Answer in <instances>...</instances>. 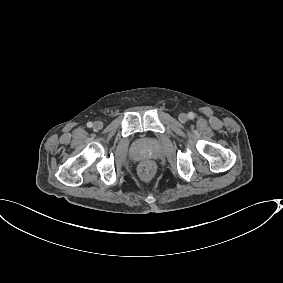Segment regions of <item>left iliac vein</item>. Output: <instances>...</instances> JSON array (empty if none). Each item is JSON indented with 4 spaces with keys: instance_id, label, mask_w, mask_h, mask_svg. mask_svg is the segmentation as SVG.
I'll return each instance as SVG.
<instances>
[{
    "instance_id": "1",
    "label": "left iliac vein",
    "mask_w": 283,
    "mask_h": 283,
    "mask_svg": "<svg viewBox=\"0 0 283 283\" xmlns=\"http://www.w3.org/2000/svg\"><path fill=\"white\" fill-rule=\"evenodd\" d=\"M178 119L180 122L185 123L188 120V116L185 113H180Z\"/></svg>"
}]
</instances>
